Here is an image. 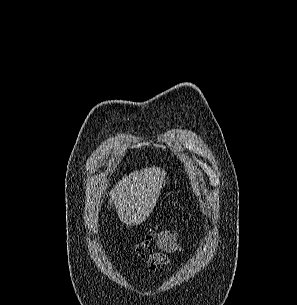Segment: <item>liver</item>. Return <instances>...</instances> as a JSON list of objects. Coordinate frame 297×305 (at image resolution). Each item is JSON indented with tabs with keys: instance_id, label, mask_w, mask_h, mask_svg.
<instances>
[{
	"instance_id": "6515ba94",
	"label": "liver",
	"mask_w": 297,
	"mask_h": 305,
	"mask_svg": "<svg viewBox=\"0 0 297 305\" xmlns=\"http://www.w3.org/2000/svg\"><path fill=\"white\" fill-rule=\"evenodd\" d=\"M165 175L164 170L153 166L125 175L114 186L109 204L115 205L124 224L137 226L147 220L157 203Z\"/></svg>"
}]
</instances>
